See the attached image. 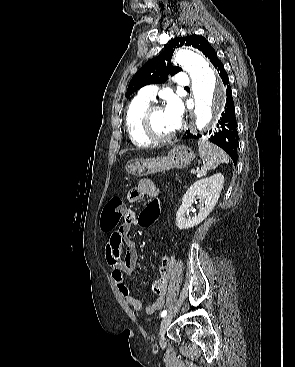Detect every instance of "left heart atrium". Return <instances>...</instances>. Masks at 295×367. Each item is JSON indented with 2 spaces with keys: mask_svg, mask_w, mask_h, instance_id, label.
Listing matches in <instances>:
<instances>
[{
  "mask_svg": "<svg viewBox=\"0 0 295 367\" xmlns=\"http://www.w3.org/2000/svg\"><path fill=\"white\" fill-rule=\"evenodd\" d=\"M164 111L170 123L177 129L183 116V106L179 98L176 96L168 97Z\"/></svg>",
  "mask_w": 295,
  "mask_h": 367,
  "instance_id": "obj_1",
  "label": "left heart atrium"
}]
</instances>
